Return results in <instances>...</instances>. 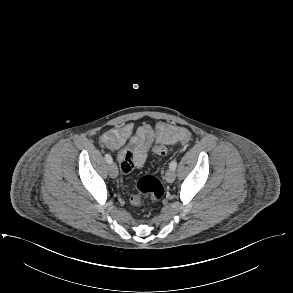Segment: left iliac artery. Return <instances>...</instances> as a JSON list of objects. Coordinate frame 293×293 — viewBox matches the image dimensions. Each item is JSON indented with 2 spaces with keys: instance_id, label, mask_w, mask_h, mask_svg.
<instances>
[{
  "instance_id": "1",
  "label": "left iliac artery",
  "mask_w": 293,
  "mask_h": 293,
  "mask_svg": "<svg viewBox=\"0 0 293 293\" xmlns=\"http://www.w3.org/2000/svg\"><path fill=\"white\" fill-rule=\"evenodd\" d=\"M176 167H177V160L174 159V160L171 161V163L169 164V168H170L171 170H175Z\"/></svg>"
}]
</instances>
